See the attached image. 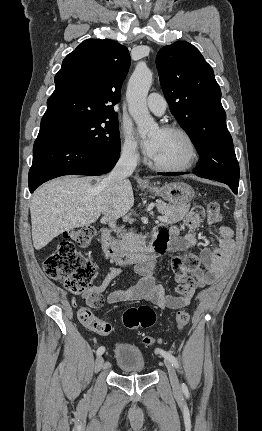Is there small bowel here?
<instances>
[{
	"label": "small bowel",
	"mask_w": 262,
	"mask_h": 431,
	"mask_svg": "<svg viewBox=\"0 0 262 431\" xmlns=\"http://www.w3.org/2000/svg\"><path fill=\"white\" fill-rule=\"evenodd\" d=\"M203 216L204 213L200 208L191 210L185 216L182 224L192 231L191 234L185 236L180 235V227L178 225L169 227L160 225L155 231L156 236L162 241L163 246L160 250L168 246L170 250L179 253L172 260L175 281L182 283L189 276H192L200 288L214 284L224 274L233 248L232 229L227 226H221L218 228V234L221 237L219 247L214 249L203 248L198 257L193 254H180L190 251L195 247L197 232L199 231ZM159 261L158 257H153L145 263L139 264L137 272L142 276L140 283L130 289L112 291L108 295L107 301L111 304H119L127 301L146 300L161 309H180L187 306L192 300L195 290L186 296L167 294L164 287L155 280V271ZM120 273L121 269L119 267H111L101 285L92 286L84 293L83 298L89 308H95L102 304L103 293L111 281ZM94 331L97 332L96 330Z\"/></svg>",
	"instance_id": "1"
}]
</instances>
